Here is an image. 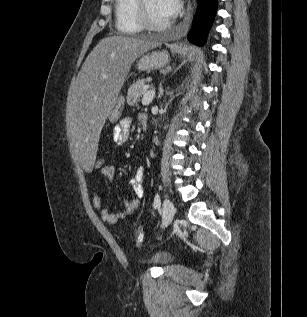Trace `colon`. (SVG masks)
Wrapping results in <instances>:
<instances>
[{"mask_svg":"<svg viewBox=\"0 0 307 317\" xmlns=\"http://www.w3.org/2000/svg\"><path fill=\"white\" fill-rule=\"evenodd\" d=\"M105 166V160L102 156H97L94 163L95 169H102ZM135 237L138 242L142 240V229L137 227L135 229Z\"/></svg>","mask_w":307,"mask_h":317,"instance_id":"colon-1","label":"colon"}]
</instances>
